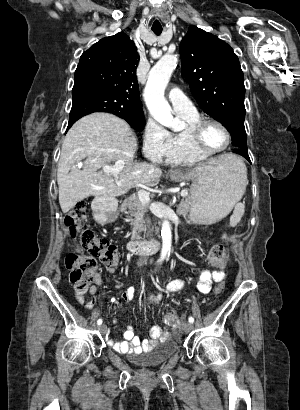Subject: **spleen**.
Listing matches in <instances>:
<instances>
[{
  "label": "spleen",
  "instance_id": "obj_1",
  "mask_svg": "<svg viewBox=\"0 0 300 410\" xmlns=\"http://www.w3.org/2000/svg\"><path fill=\"white\" fill-rule=\"evenodd\" d=\"M235 162L237 164V168H239L241 170V172L243 173V186L246 188L247 185V169L245 164L239 159V158H235ZM245 212V205L243 203H237L235 205L233 214L230 217V225L232 227H235L241 220L243 214Z\"/></svg>",
  "mask_w": 300,
  "mask_h": 410
}]
</instances>
